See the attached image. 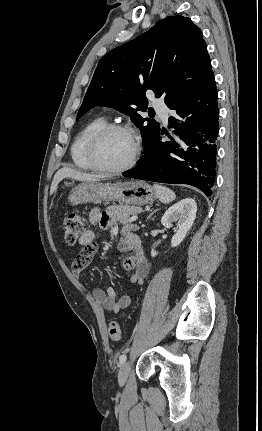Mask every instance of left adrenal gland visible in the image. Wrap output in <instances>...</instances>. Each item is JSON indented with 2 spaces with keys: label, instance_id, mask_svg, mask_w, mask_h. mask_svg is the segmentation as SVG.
Segmentation results:
<instances>
[{
  "label": "left adrenal gland",
  "instance_id": "obj_1",
  "mask_svg": "<svg viewBox=\"0 0 262 431\" xmlns=\"http://www.w3.org/2000/svg\"><path fill=\"white\" fill-rule=\"evenodd\" d=\"M154 212H155V211H154ZM154 212H152V213L150 214V216H151V215H153V213H154ZM150 216H149V217H150Z\"/></svg>",
  "mask_w": 262,
  "mask_h": 431
}]
</instances>
